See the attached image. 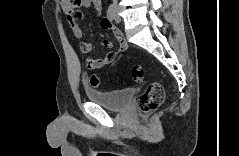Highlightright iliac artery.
<instances>
[{
  "label": "right iliac artery",
  "instance_id": "82829eb1",
  "mask_svg": "<svg viewBox=\"0 0 239 156\" xmlns=\"http://www.w3.org/2000/svg\"><path fill=\"white\" fill-rule=\"evenodd\" d=\"M107 17L109 18V20H114L115 18V5L114 4H111L109 7H108V10H107Z\"/></svg>",
  "mask_w": 239,
  "mask_h": 156
}]
</instances>
